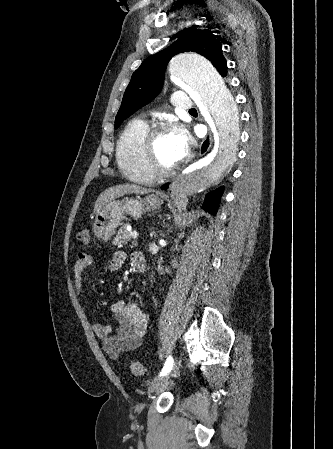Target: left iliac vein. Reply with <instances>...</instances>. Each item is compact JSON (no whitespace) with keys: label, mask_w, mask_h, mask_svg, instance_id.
<instances>
[{"label":"left iliac vein","mask_w":333,"mask_h":449,"mask_svg":"<svg viewBox=\"0 0 333 449\" xmlns=\"http://www.w3.org/2000/svg\"><path fill=\"white\" fill-rule=\"evenodd\" d=\"M175 368H176V365L173 367V369H172V371L170 373H168V374H166L164 376H160V377L155 378L151 382V384L149 386V392L153 393L155 391H158V390L162 389L168 383V381H169V379L171 377V374L173 373Z\"/></svg>","instance_id":"4c4485c4"}]
</instances>
